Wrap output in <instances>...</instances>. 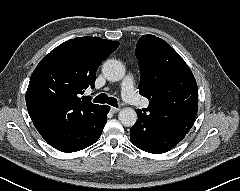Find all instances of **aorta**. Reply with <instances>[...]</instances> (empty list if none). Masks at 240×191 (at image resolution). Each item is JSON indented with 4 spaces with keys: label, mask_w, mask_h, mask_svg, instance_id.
<instances>
[{
    "label": "aorta",
    "mask_w": 240,
    "mask_h": 191,
    "mask_svg": "<svg viewBox=\"0 0 240 191\" xmlns=\"http://www.w3.org/2000/svg\"><path fill=\"white\" fill-rule=\"evenodd\" d=\"M102 73L107 80L117 82L124 77L125 66L116 59H109L103 64ZM118 119L123 126L131 127L137 121V113L134 109L126 107L120 110Z\"/></svg>",
    "instance_id": "762f6f07"
}]
</instances>
